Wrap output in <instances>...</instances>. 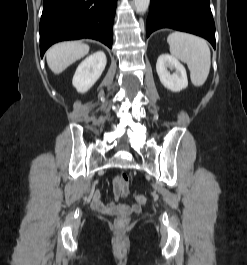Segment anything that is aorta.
Returning a JSON list of instances; mask_svg holds the SVG:
<instances>
[{"label":"aorta","instance_id":"1","mask_svg":"<svg viewBox=\"0 0 247 265\" xmlns=\"http://www.w3.org/2000/svg\"><path fill=\"white\" fill-rule=\"evenodd\" d=\"M150 0H134L135 8L139 13H145L149 7Z\"/></svg>","mask_w":247,"mask_h":265}]
</instances>
